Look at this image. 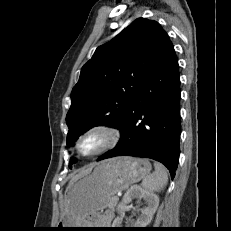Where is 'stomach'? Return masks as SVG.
I'll return each mask as SVG.
<instances>
[{
	"mask_svg": "<svg viewBox=\"0 0 231 231\" xmlns=\"http://www.w3.org/2000/svg\"><path fill=\"white\" fill-rule=\"evenodd\" d=\"M150 170L149 161L142 158L122 156L98 163L88 174L69 184L60 230L87 228L83 226L91 214L107 208L117 192L145 178Z\"/></svg>",
	"mask_w": 231,
	"mask_h": 231,
	"instance_id": "0dacf381",
	"label": "stomach"
}]
</instances>
